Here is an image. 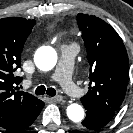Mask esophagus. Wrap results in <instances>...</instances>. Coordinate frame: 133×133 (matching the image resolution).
<instances>
[{
  "instance_id": "esophagus-1",
  "label": "esophagus",
  "mask_w": 133,
  "mask_h": 133,
  "mask_svg": "<svg viewBox=\"0 0 133 133\" xmlns=\"http://www.w3.org/2000/svg\"><path fill=\"white\" fill-rule=\"evenodd\" d=\"M52 99L56 102H61L63 100V97L61 95H57L52 97Z\"/></svg>"
}]
</instances>
